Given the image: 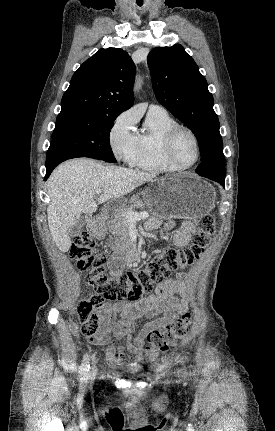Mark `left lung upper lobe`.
Instances as JSON below:
<instances>
[{
  "label": "left lung upper lobe",
  "mask_w": 275,
  "mask_h": 431,
  "mask_svg": "<svg viewBox=\"0 0 275 431\" xmlns=\"http://www.w3.org/2000/svg\"><path fill=\"white\" fill-rule=\"evenodd\" d=\"M157 100L186 124L198 140L201 164L196 173L225 175L220 124L205 77L181 45L154 48L148 55Z\"/></svg>",
  "instance_id": "5c2ea615"
}]
</instances>
